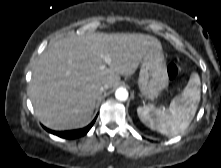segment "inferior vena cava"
<instances>
[{"instance_id":"1","label":"inferior vena cava","mask_w":221,"mask_h":168,"mask_svg":"<svg viewBox=\"0 0 221 168\" xmlns=\"http://www.w3.org/2000/svg\"><path fill=\"white\" fill-rule=\"evenodd\" d=\"M108 88L107 84H104L100 87V92H103L104 90H106Z\"/></svg>"}]
</instances>
